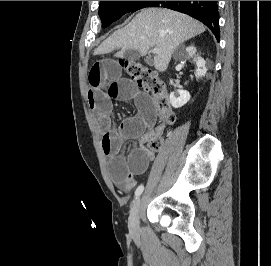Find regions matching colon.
Returning a JSON list of instances; mask_svg holds the SVG:
<instances>
[{
  "instance_id": "obj_1",
  "label": "colon",
  "mask_w": 271,
  "mask_h": 266,
  "mask_svg": "<svg viewBox=\"0 0 271 266\" xmlns=\"http://www.w3.org/2000/svg\"><path fill=\"white\" fill-rule=\"evenodd\" d=\"M120 65L134 83L152 95L160 118L166 123L174 122L175 115L171 109L167 86L158 73L136 61L125 60ZM149 142L151 149L158 150L161 146L160 135L152 136Z\"/></svg>"
}]
</instances>
